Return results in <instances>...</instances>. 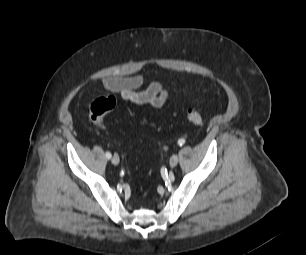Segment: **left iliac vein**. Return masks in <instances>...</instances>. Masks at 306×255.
Here are the masks:
<instances>
[{
	"label": "left iliac vein",
	"instance_id": "left-iliac-vein-1",
	"mask_svg": "<svg viewBox=\"0 0 306 255\" xmlns=\"http://www.w3.org/2000/svg\"><path fill=\"white\" fill-rule=\"evenodd\" d=\"M178 161H179L178 155L174 154V155L171 156L169 164L173 168L178 164Z\"/></svg>",
	"mask_w": 306,
	"mask_h": 255
}]
</instances>
